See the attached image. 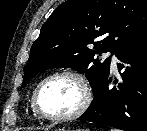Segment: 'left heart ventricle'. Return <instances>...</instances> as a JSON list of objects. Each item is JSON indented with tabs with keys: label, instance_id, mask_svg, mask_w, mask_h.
I'll return each mask as SVG.
<instances>
[{
	"label": "left heart ventricle",
	"instance_id": "b2bd125f",
	"mask_svg": "<svg viewBox=\"0 0 147 131\" xmlns=\"http://www.w3.org/2000/svg\"><path fill=\"white\" fill-rule=\"evenodd\" d=\"M82 100V87L71 77L53 78L44 84L39 93L40 107L49 115L70 114Z\"/></svg>",
	"mask_w": 147,
	"mask_h": 131
}]
</instances>
